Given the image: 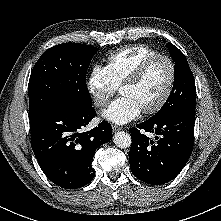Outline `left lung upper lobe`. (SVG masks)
Listing matches in <instances>:
<instances>
[{
	"label": "left lung upper lobe",
	"instance_id": "5c2ea615",
	"mask_svg": "<svg viewBox=\"0 0 221 221\" xmlns=\"http://www.w3.org/2000/svg\"><path fill=\"white\" fill-rule=\"evenodd\" d=\"M167 47L175 62L173 89L163 107L150 120H162L182 112L195 114L196 87L187 59L172 43H167Z\"/></svg>",
	"mask_w": 221,
	"mask_h": 221
}]
</instances>
